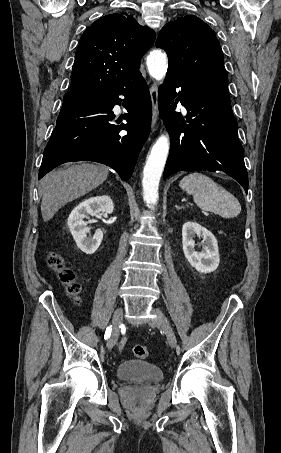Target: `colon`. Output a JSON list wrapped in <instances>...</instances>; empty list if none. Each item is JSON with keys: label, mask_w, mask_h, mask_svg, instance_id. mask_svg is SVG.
Masks as SVG:
<instances>
[{"label": "colon", "mask_w": 281, "mask_h": 453, "mask_svg": "<svg viewBox=\"0 0 281 453\" xmlns=\"http://www.w3.org/2000/svg\"><path fill=\"white\" fill-rule=\"evenodd\" d=\"M47 264L57 273L58 279L67 284L68 290L75 296V300L79 301L80 298L78 294L80 291V284L77 280L76 272L71 268L65 267L64 259L54 251L49 252L47 256ZM133 353L135 357L141 359H147L150 357V351L145 346H134Z\"/></svg>", "instance_id": "colon-1"}]
</instances>
